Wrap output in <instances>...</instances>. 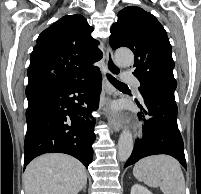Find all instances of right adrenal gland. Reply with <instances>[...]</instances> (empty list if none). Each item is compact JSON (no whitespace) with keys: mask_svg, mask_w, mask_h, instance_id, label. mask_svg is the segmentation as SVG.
<instances>
[{"mask_svg":"<svg viewBox=\"0 0 201 194\" xmlns=\"http://www.w3.org/2000/svg\"><path fill=\"white\" fill-rule=\"evenodd\" d=\"M83 192H86V185H84V187L82 188Z\"/></svg>","mask_w":201,"mask_h":194,"instance_id":"2a0ac1e0","label":"right adrenal gland"}]
</instances>
